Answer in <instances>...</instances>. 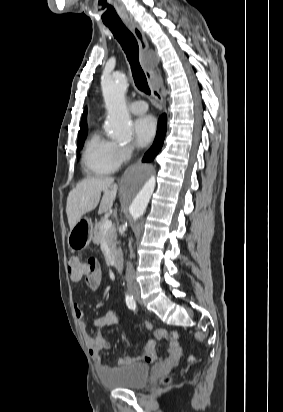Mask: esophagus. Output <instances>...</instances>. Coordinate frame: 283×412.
<instances>
[{
	"label": "esophagus",
	"mask_w": 283,
	"mask_h": 412,
	"mask_svg": "<svg viewBox=\"0 0 283 412\" xmlns=\"http://www.w3.org/2000/svg\"><path fill=\"white\" fill-rule=\"evenodd\" d=\"M126 26L131 30L134 34L135 38L137 39L139 50H140V60L142 68L145 72V75L152 87V94L154 98L159 102L162 107L163 104V96L161 93V81L158 78L156 67V62L152 61L147 57L148 52V41L140 29V27L133 21V20H125Z\"/></svg>",
	"instance_id": "1"
}]
</instances>
